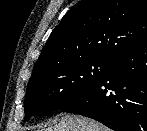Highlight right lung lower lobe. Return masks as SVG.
<instances>
[{
	"label": "right lung lower lobe",
	"mask_w": 147,
	"mask_h": 131,
	"mask_svg": "<svg viewBox=\"0 0 147 131\" xmlns=\"http://www.w3.org/2000/svg\"><path fill=\"white\" fill-rule=\"evenodd\" d=\"M62 111L114 131H147V40L114 59L101 81Z\"/></svg>",
	"instance_id": "1"
}]
</instances>
